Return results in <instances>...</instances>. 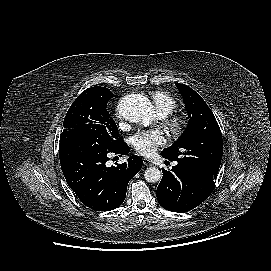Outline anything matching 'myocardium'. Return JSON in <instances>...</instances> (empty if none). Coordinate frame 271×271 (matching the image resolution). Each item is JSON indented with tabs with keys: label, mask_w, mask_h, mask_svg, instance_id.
Here are the masks:
<instances>
[{
	"label": "myocardium",
	"mask_w": 271,
	"mask_h": 271,
	"mask_svg": "<svg viewBox=\"0 0 271 271\" xmlns=\"http://www.w3.org/2000/svg\"><path fill=\"white\" fill-rule=\"evenodd\" d=\"M168 124H169L170 130L176 136L182 135L187 128L186 120L181 117L172 118Z\"/></svg>",
	"instance_id": "myocardium-1"
}]
</instances>
